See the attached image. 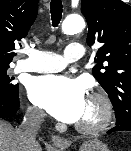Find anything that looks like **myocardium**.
<instances>
[{"label": "myocardium", "instance_id": "f54148a6", "mask_svg": "<svg viewBox=\"0 0 131 151\" xmlns=\"http://www.w3.org/2000/svg\"><path fill=\"white\" fill-rule=\"evenodd\" d=\"M89 100L99 107V117L94 122H78L76 129L84 134H94L105 130L113 119V105L110 99L101 92H92Z\"/></svg>", "mask_w": 131, "mask_h": 151}]
</instances>
